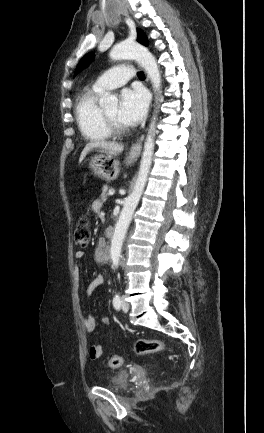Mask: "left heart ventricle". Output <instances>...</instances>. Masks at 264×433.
I'll use <instances>...</instances> for the list:
<instances>
[{"label": "left heart ventricle", "mask_w": 264, "mask_h": 433, "mask_svg": "<svg viewBox=\"0 0 264 433\" xmlns=\"http://www.w3.org/2000/svg\"><path fill=\"white\" fill-rule=\"evenodd\" d=\"M105 111L112 117L114 118L120 125L125 126L124 123H122L120 121V119L118 118V106L117 105H112L109 106L107 108H105Z\"/></svg>", "instance_id": "obj_1"}]
</instances>
